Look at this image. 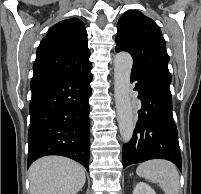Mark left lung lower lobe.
<instances>
[{
  "instance_id": "left-lung-lower-lobe-1",
  "label": "left lung lower lobe",
  "mask_w": 201,
  "mask_h": 194,
  "mask_svg": "<svg viewBox=\"0 0 201 194\" xmlns=\"http://www.w3.org/2000/svg\"><path fill=\"white\" fill-rule=\"evenodd\" d=\"M141 101L132 139L122 151L123 168L150 159H166L180 170L178 132L172 114L171 81L152 74L131 72V83Z\"/></svg>"
}]
</instances>
